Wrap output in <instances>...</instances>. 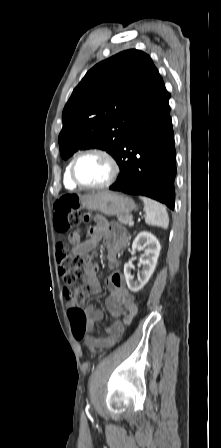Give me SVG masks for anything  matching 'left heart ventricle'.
Wrapping results in <instances>:
<instances>
[{
	"mask_svg": "<svg viewBox=\"0 0 221 448\" xmlns=\"http://www.w3.org/2000/svg\"><path fill=\"white\" fill-rule=\"evenodd\" d=\"M111 174L110 167L104 157L97 154L81 158L76 167V175L85 184H100Z\"/></svg>",
	"mask_w": 221,
	"mask_h": 448,
	"instance_id": "obj_1",
	"label": "left heart ventricle"
}]
</instances>
